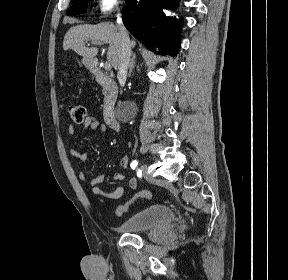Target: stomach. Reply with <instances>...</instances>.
<instances>
[{
    "mask_svg": "<svg viewBox=\"0 0 288 280\" xmlns=\"http://www.w3.org/2000/svg\"><path fill=\"white\" fill-rule=\"evenodd\" d=\"M82 63L85 66L90 67L93 63V59L92 58H83Z\"/></svg>",
    "mask_w": 288,
    "mask_h": 280,
    "instance_id": "stomach-1",
    "label": "stomach"
}]
</instances>
